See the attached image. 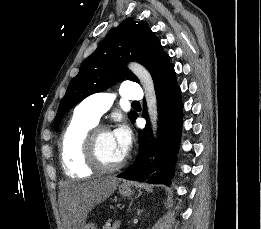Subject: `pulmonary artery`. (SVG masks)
<instances>
[{
	"mask_svg": "<svg viewBox=\"0 0 261 229\" xmlns=\"http://www.w3.org/2000/svg\"><path fill=\"white\" fill-rule=\"evenodd\" d=\"M123 91L120 94L127 99H143L144 95L141 94V84H121ZM116 93L113 92H100L95 93L85 100H83L79 107L85 114L96 125L99 123L100 118L105 114L112 106Z\"/></svg>",
	"mask_w": 261,
	"mask_h": 229,
	"instance_id": "1",
	"label": "pulmonary artery"
}]
</instances>
